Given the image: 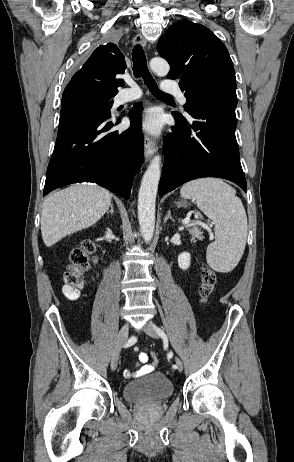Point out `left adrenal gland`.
<instances>
[{"label": "left adrenal gland", "instance_id": "1", "mask_svg": "<svg viewBox=\"0 0 294 462\" xmlns=\"http://www.w3.org/2000/svg\"><path fill=\"white\" fill-rule=\"evenodd\" d=\"M168 219H170L171 221L174 222V219H173L172 216H171V211H170V210H168V213H167V215H166L165 218H164V223H166Z\"/></svg>", "mask_w": 294, "mask_h": 462}]
</instances>
